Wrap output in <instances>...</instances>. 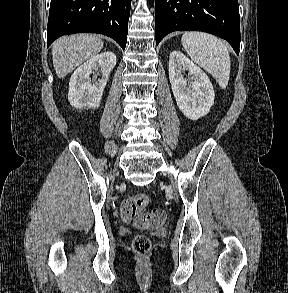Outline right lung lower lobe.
Segmentation results:
<instances>
[{"label": "right lung lower lobe", "mask_w": 288, "mask_h": 293, "mask_svg": "<svg viewBox=\"0 0 288 293\" xmlns=\"http://www.w3.org/2000/svg\"><path fill=\"white\" fill-rule=\"evenodd\" d=\"M131 0H51L47 45L67 34L89 32L113 38L125 49Z\"/></svg>", "instance_id": "right-lung-lower-lobe-1"}]
</instances>
